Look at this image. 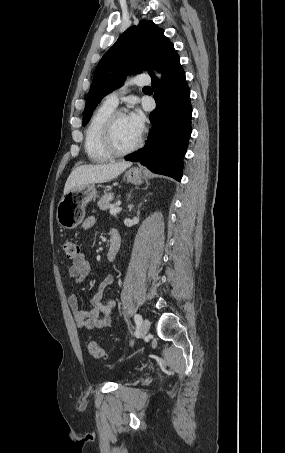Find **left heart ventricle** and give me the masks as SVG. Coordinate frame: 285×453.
Segmentation results:
<instances>
[{"label": "left heart ventricle", "instance_id": "1", "mask_svg": "<svg viewBox=\"0 0 285 453\" xmlns=\"http://www.w3.org/2000/svg\"><path fill=\"white\" fill-rule=\"evenodd\" d=\"M141 131L134 125L129 115L120 116L115 124L114 137L116 145L125 149L134 145L139 139Z\"/></svg>", "mask_w": 285, "mask_h": 453}]
</instances>
